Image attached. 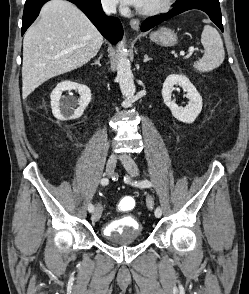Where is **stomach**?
Segmentation results:
<instances>
[{"instance_id": "stomach-1", "label": "stomach", "mask_w": 249, "mask_h": 294, "mask_svg": "<svg viewBox=\"0 0 249 294\" xmlns=\"http://www.w3.org/2000/svg\"><path fill=\"white\" fill-rule=\"evenodd\" d=\"M151 38L156 43L163 46H173L177 43L176 33L173 30L166 27H163L154 34H152Z\"/></svg>"}]
</instances>
